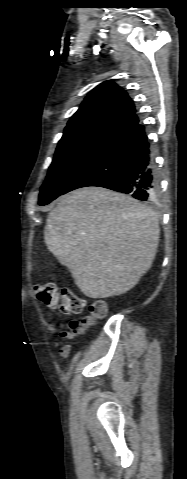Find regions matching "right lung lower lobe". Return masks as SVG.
<instances>
[{"instance_id": "right-lung-lower-lobe-1", "label": "right lung lower lobe", "mask_w": 187, "mask_h": 479, "mask_svg": "<svg viewBox=\"0 0 187 479\" xmlns=\"http://www.w3.org/2000/svg\"><path fill=\"white\" fill-rule=\"evenodd\" d=\"M98 186L131 193L139 200H155L159 176L144 126L136 124L100 157L85 167L60 195L77 188Z\"/></svg>"}]
</instances>
